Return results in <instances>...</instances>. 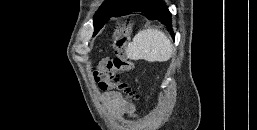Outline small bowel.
Here are the masks:
<instances>
[{"label":"small bowel","mask_w":257,"mask_h":130,"mask_svg":"<svg viewBox=\"0 0 257 130\" xmlns=\"http://www.w3.org/2000/svg\"><path fill=\"white\" fill-rule=\"evenodd\" d=\"M121 110H122L124 113H127V114H132V113H133V107L130 106V105L122 106V107H121Z\"/></svg>","instance_id":"small-bowel-1"}]
</instances>
